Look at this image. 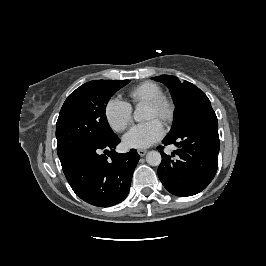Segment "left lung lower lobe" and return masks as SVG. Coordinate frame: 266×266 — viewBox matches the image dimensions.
<instances>
[{
    "instance_id": "1",
    "label": "left lung lower lobe",
    "mask_w": 266,
    "mask_h": 266,
    "mask_svg": "<svg viewBox=\"0 0 266 266\" xmlns=\"http://www.w3.org/2000/svg\"><path fill=\"white\" fill-rule=\"evenodd\" d=\"M163 143L179 146L171 156L158 147L162 156L158 176L164 187L176 196H191L204 190L218 168L220 141L216 114L212 112L193 121L175 136L166 137Z\"/></svg>"
}]
</instances>
